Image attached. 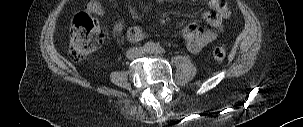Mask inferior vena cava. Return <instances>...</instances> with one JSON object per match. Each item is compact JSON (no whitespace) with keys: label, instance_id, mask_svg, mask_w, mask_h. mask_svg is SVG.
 <instances>
[{"label":"inferior vena cava","instance_id":"602c4592","mask_svg":"<svg viewBox=\"0 0 303 127\" xmlns=\"http://www.w3.org/2000/svg\"><path fill=\"white\" fill-rule=\"evenodd\" d=\"M127 58L130 59V60H134V59H137L141 56H143V52L140 48H131L127 51V54H126Z\"/></svg>","mask_w":303,"mask_h":127}]
</instances>
